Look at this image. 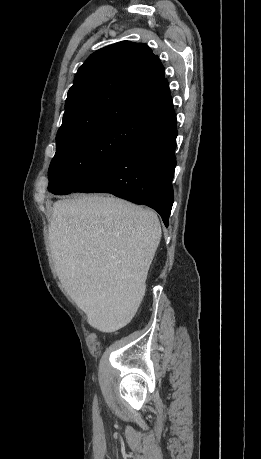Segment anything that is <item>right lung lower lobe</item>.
Here are the masks:
<instances>
[{
    "label": "right lung lower lobe",
    "instance_id": "right-lung-lower-lobe-1",
    "mask_svg": "<svg viewBox=\"0 0 261 459\" xmlns=\"http://www.w3.org/2000/svg\"><path fill=\"white\" fill-rule=\"evenodd\" d=\"M175 112L156 121L119 157L73 192H105L155 209L165 224L173 205Z\"/></svg>",
    "mask_w": 261,
    "mask_h": 459
}]
</instances>
